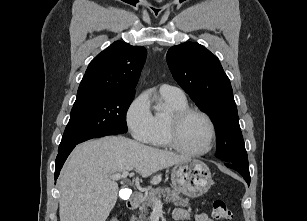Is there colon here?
<instances>
[{"instance_id": "5ec220e1", "label": "colon", "mask_w": 307, "mask_h": 221, "mask_svg": "<svg viewBox=\"0 0 307 221\" xmlns=\"http://www.w3.org/2000/svg\"><path fill=\"white\" fill-rule=\"evenodd\" d=\"M213 216L220 221H230L233 218L232 211L228 205L220 199H215L212 202ZM109 221H120L116 216L111 217Z\"/></svg>"}]
</instances>
